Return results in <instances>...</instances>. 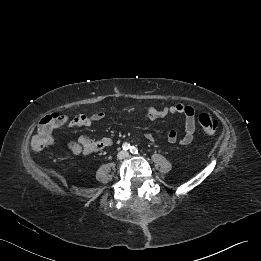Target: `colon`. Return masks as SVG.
<instances>
[{
  "label": "colon",
  "instance_id": "colon-1",
  "mask_svg": "<svg viewBox=\"0 0 261 261\" xmlns=\"http://www.w3.org/2000/svg\"><path fill=\"white\" fill-rule=\"evenodd\" d=\"M65 117L58 113H52L44 118L38 124L36 132L32 137L31 145L35 151L43 150L48 144L53 141L54 128L62 124ZM199 124L204 133L213 135L218 129V122L215 118L207 113H201L198 117Z\"/></svg>",
  "mask_w": 261,
  "mask_h": 261
}]
</instances>
